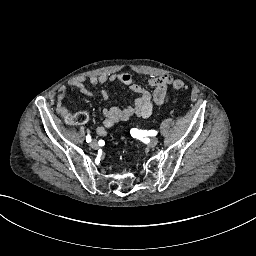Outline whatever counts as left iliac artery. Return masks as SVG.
Segmentation results:
<instances>
[{
    "instance_id": "44dca946",
    "label": "left iliac artery",
    "mask_w": 256,
    "mask_h": 256,
    "mask_svg": "<svg viewBox=\"0 0 256 256\" xmlns=\"http://www.w3.org/2000/svg\"><path fill=\"white\" fill-rule=\"evenodd\" d=\"M130 133L133 137L142 139L144 136H156L157 131L155 130L143 131V130H138L136 128H133L131 129Z\"/></svg>"
}]
</instances>
